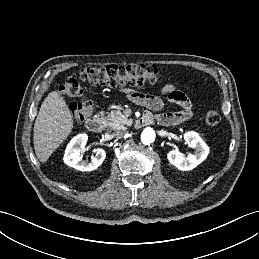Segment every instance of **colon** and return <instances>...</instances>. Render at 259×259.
Returning a JSON list of instances; mask_svg holds the SVG:
<instances>
[{
    "label": "colon",
    "instance_id": "obj_1",
    "mask_svg": "<svg viewBox=\"0 0 259 259\" xmlns=\"http://www.w3.org/2000/svg\"><path fill=\"white\" fill-rule=\"evenodd\" d=\"M80 79L92 85L141 87L146 84H156L160 79V72L153 65L89 66L81 70ZM60 91L66 96L80 99L70 104L71 114L76 121H83L91 115L93 103L84 96L82 86L77 79H66ZM220 120L218 108L207 111L205 121L208 125L215 126Z\"/></svg>",
    "mask_w": 259,
    "mask_h": 259
}]
</instances>
